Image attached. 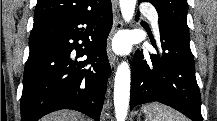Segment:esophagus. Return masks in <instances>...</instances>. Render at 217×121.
<instances>
[{
	"instance_id": "1",
	"label": "esophagus",
	"mask_w": 217,
	"mask_h": 121,
	"mask_svg": "<svg viewBox=\"0 0 217 121\" xmlns=\"http://www.w3.org/2000/svg\"><path fill=\"white\" fill-rule=\"evenodd\" d=\"M122 26H123L122 20L119 17L115 16L113 21V26L109 35L108 43H107V56L110 65L113 67L116 65V62L118 60L112 49L113 37L116 34V32L122 28Z\"/></svg>"
}]
</instances>
